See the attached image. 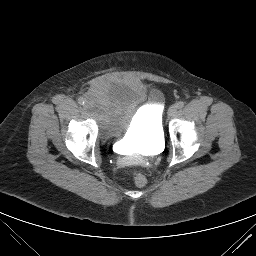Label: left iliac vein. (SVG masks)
I'll return each mask as SVG.
<instances>
[{
  "label": "left iliac vein",
  "instance_id": "1",
  "mask_svg": "<svg viewBox=\"0 0 256 256\" xmlns=\"http://www.w3.org/2000/svg\"><path fill=\"white\" fill-rule=\"evenodd\" d=\"M176 112H177V106L176 105H172V106L169 107L167 113H168V116L172 117V116H174L176 114Z\"/></svg>",
  "mask_w": 256,
  "mask_h": 256
}]
</instances>
